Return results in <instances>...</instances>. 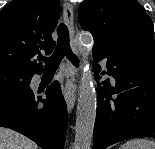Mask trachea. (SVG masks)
<instances>
[{
  "instance_id": "1",
  "label": "trachea",
  "mask_w": 155,
  "mask_h": 149,
  "mask_svg": "<svg viewBox=\"0 0 155 149\" xmlns=\"http://www.w3.org/2000/svg\"><path fill=\"white\" fill-rule=\"evenodd\" d=\"M57 33H58V40H57V46L54 53L48 58H45V57L40 58V60L44 61L45 63V70L46 71L57 70L64 55L67 56V58L72 62L73 65L78 67L79 60L70 48L69 31L67 26L61 23L58 26Z\"/></svg>"
}]
</instances>
